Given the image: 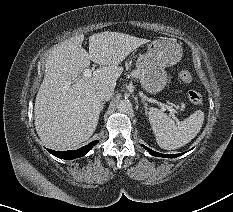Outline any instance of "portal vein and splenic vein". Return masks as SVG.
I'll return each mask as SVG.
<instances>
[{
	"instance_id": "1",
	"label": "portal vein and splenic vein",
	"mask_w": 233,
	"mask_h": 212,
	"mask_svg": "<svg viewBox=\"0 0 233 212\" xmlns=\"http://www.w3.org/2000/svg\"><path fill=\"white\" fill-rule=\"evenodd\" d=\"M92 72H93V70H91V69H85L83 71V75H84V77H91ZM160 107H161L162 111L169 110L171 113L174 112V110L170 106H168L164 103H160Z\"/></svg>"
}]
</instances>
